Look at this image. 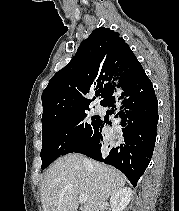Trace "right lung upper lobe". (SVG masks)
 <instances>
[{"label": "right lung upper lobe", "instance_id": "obj_1", "mask_svg": "<svg viewBox=\"0 0 179 211\" xmlns=\"http://www.w3.org/2000/svg\"><path fill=\"white\" fill-rule=\"evenodd\" d=\"M143 68L120 34L100 27L79 46L72 60L49 81L42 93V125L52 119L87 110L94 100L85 98L93 90L101 92L104 105L114 93V81L124 87L131 83Z\"/></svg>", "mask_w": 179, "mask_h": 211}]
</instances>
